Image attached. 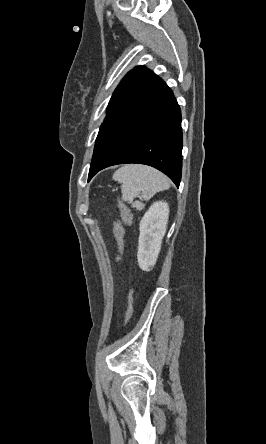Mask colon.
I'll list each match as a JSON object with an SVG mask.
<instances>
[{
	"mask_svg": "<svg viewBox=\"0 0 266 444\" xmlns=\"http://www.w3.org/2000/svg\"><path fill=\"white\" fill-rule=\"evenodd\" d=\"M122 211V219L123 221H115L113 226V234L115 240V261H119L121 258L123 244H124V234H125V226H130L132 223V216L128 208L121 204ZM133 311V292L129 291L127 296V305L125 312V323H127L132 315Z\"/></svg>",
	"mask_w": 266,
	"mask_h": 444,
	"instance_id": "5ec220e1",
	"label": "colon"
}]
</instances>
